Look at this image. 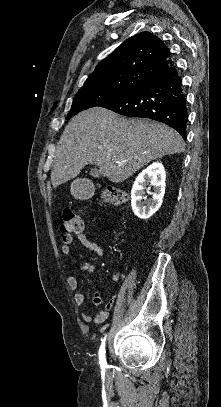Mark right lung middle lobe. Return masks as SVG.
<instances>
[{"instance_id":"1","label":"right lung middle lobe","mask_w":221,"mask_h":407,"mask_svg":"<svg viewBox=\"0 0 221 407\" xmlns=\"http://www.w3.org/2000/svg\"><path fill=\"white\" fill-rule=\"evenodd\" d=\"M137 86L138 85L127 87L94 86L81 89L74 97L68 117L88 108L102 106L108 102L116 100Z\"/></svg>"}]
</instances>
